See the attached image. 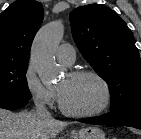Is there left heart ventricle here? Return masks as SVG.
<instances>
[{
	"label": "left heart ventricle",
	"mask_w": 141,
	"mask_h": 139,
	"mask_svg": "<svg viewBox=\"0 0 141 139\" xmlns=\"http://www.w3.org/2000/svg\"><path fill=\"white\" fill-rule=\"evenodd\" d=\"M66 106L77 112L98 109L104 100L102 85L93 77L72 78L69 74L58 84Z\"/></svg>",
	"instance_id": "1"
}]
</instances>
